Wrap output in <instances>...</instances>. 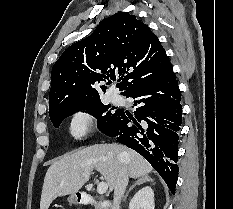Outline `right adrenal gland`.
I'll use <instances>...</instances> for the list:
<instances>
[{"label": "right adrenal gland", "mask_w": 233, "mask_h": 209, "mask_svg": "<svg viewBox=\"0 0 233 209\" xmlns=\"http://www.w3.org/2000/svg\"><path fill=\"white\" fill-rule=\"evenodd\" d=\"M143 182H153V179L150 178L149 176H142V177H139V178L136 180L135 184H133V185L127 190V192H126V194H125V197H124V201H126V199H127L128 195H129L130 191H131L136 185H140V184H142Z\"/></svg>", "instance_id": "2a0ac1e0"}]
</instances>
